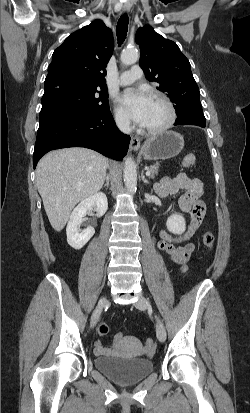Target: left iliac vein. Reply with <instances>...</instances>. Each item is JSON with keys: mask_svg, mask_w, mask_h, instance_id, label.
Segmentation results:
<instances>
[{"mask_svg": "<svg viewBox=\"0 0 250 413\" xmlns=\"http://www.w3.org/2000/svg\"><path fill=\"white\" fill-rule=\"evenodd\" d=\"M135 306L138 309L144 310L149 308V302L144 296H140L139 299L135 302ZM156 334L160 342H164L166 339V330L163 324L157 319L156 325Z\"/></svg>", "mask_w": 250, "mask_h": 413, "instance_id": "obj_1", "label": "left iliac vein"}]
</instances>
